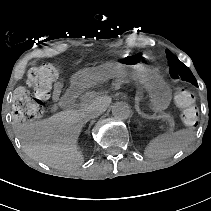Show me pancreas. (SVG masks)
<instances>
[{
    "mask_svg": "<svg viewBox=\"0 0 211 211\" xmlns=\"http://www.w3.org/2000/svg\"><path fill=\"white\" fill-rule=\"evenodd\" d=\"M162 117L168 120L170 127H174L175 123L169 114H163Z\"/></svg>",
    "mask_w": 211,
    "mask_h": 211,
    "instance_id": "pancreas-1",
    "label": "pancreas"
}]
</instances>
